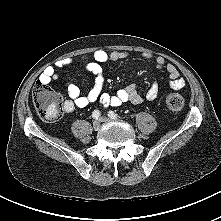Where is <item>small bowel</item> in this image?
<instances>
[{
    "label": "small bowel",
    "instance_id": "obj_1",
    "mask_svg": "<svg viewBox=\"0 0 221 221\" xmlns=\"http://www.w3.org/2000/svg\"><path fill=\"white\" fill-rule=\"evenodd\" d=\"M146 59H152V55L144 54ZM129 57L126 51H105L96 50L90 54H84L77 57H67L56 62L55 66H48L44 69L39 77L40 82L50 83L52 80H57L59 75L57 69L71 65L74 62L85 64L88 72L94 76V84L87 94L82 95L79 87L73 83H65L63 85L67 92L68 98L64 102V111L66 114H71L76 108H84L93 102H99L104 106H120L123 103L131 102L140 104L142 97L138 93L134 85H128L115 92L109 94L104 92V75L102 65L108 62L124 60ZM156 68L162 69L165 67L169 75V87L173 90H181L185 87V80L180 76L178 69L173 64H166L165 59L161 56L154 58ZM158 96V84L153 83L147 90L146 98L154 100Z\"/></svg>",
    "mask_w": 221,
    "mask_h": 221
}]
</instances>
